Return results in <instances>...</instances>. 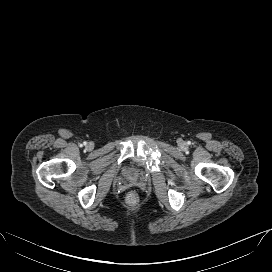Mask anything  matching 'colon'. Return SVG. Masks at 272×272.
Masks as SVG:
<instances>
[{"label": "colon", "mask_w": 272, "mask_h": 272, "mask_svg": "<svg viewBox=\"0 0 272 272\" xmlns=\"http://www.w3.org/2000/svg\"><path fill=\"white\" fill-rule=\"evenodd\" d=\"M126 202L128 205L134 206L139 202V195L135 191H131L126 196Z\"/></svg>", "instance_id": "5ec220e1"}]
</instances>
